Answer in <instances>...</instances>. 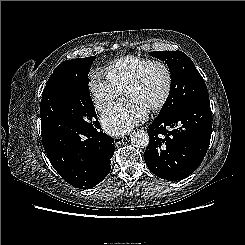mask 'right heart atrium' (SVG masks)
Instances as JSON below:
<instances>
[{
    "instance_id": "obj_1",
    "label": "right heart atrium",
    "mask_w": 245,
    "mask_h": 245,
    "mask_svg": "<svg viewBox=\"0 0 245 245\" xmlns=\"http://www.w3.org/2000/svg\"><path fill=\"white\" fill-rule=\"evenodd\" d=\"M88 90L94 107L98 111L106 109L121 93V90L100 70H94L90 73Z\"/></svg>"
}]
</instances>
